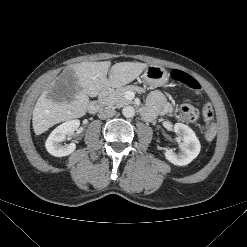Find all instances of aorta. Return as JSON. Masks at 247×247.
<instances>
[{
  "instance_id": "obj_1",
  "label": "aorta",
  "mask_w": 247,
  "mask_h": 247,
  "mask_svg": "<svg viewBox=\"0 0 247 247\" xmlns=\"http://www.w3.org/2000/svg\"><path fill=\"white\" fill-rule=\"evenodd\" d=\"M122 114L126 118H132L135 115V109L132 106H126L122 109Z\"/></svg>"
}]
</instances>
